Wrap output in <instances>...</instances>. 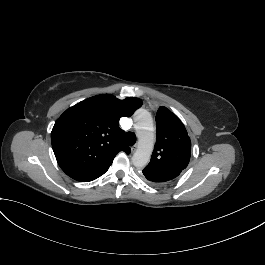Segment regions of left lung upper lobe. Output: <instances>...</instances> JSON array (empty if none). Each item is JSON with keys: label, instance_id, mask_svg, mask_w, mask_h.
<instances>
[{"label": "left lung upper lobe", "instance_id": "left-lung-upper-lobe-1", "mask_svg": "<svg viewBox=\"0 0 265 265\" xmlns=\"http://www.w3.org/2000/svg\"><path fill=\"white\" fill-rule=\"evenodd\" d=\"M157 141L150 163L143 169L149 182L166 185L187 167L191 141L181 120L164 106L156 114Z\"/></svg>", "mask_w": 265, "mask_h": 265}]
</instances>
